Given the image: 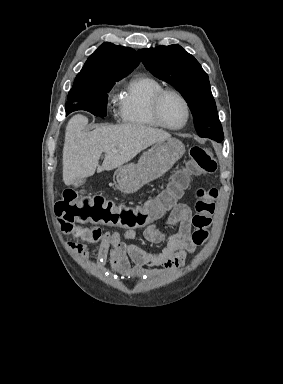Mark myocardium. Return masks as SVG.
<instances>
[{"label":"myocardium","instance_id":"myocardium-1","mask_svg":"<svg viewBox=\"0 0 283 384\" xmlns=\"http://www.w3.org/2000/svg\"><path fill=\"white\" fill-rule=\"evenodd\" d=\"M169 94L174 95L181 100V102L184 105L185 112H186V118H185L184 123L180 126H177V127H170V126L166 125L163 122L161 115H160V107H161L162 101L165 98V96H167ZM149 113H150L152 120L154 121V123L158 127L165 129V130H169V131H179V130L185 128L187 126V124L189 123L190 117H191L190 105H189L187 99L180 92H178L174 89H162L160 92H158L154 96V98L152 99V101L150 103Z\"/></svg>","mask_w":283,"mask_h":384}]
</instances>
